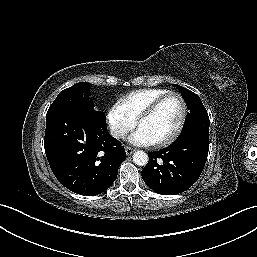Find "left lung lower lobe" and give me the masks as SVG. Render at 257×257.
I'll return each instance as SVG.
<instances>
[{"instance_id":"1","label":"left lung lower lobe","mask_w":257,"mask_h":257,"mask_svg":"<svg viewBox=\"0 0 257 257\" xmlns=\"http://www.w3.org/2000/svg\"><path fill=\"white\" fill-rule=\"evenodd\" d=\"M209 150V136L191 135L177 139L169 147L149 152L142 170L144 182L160 194L188 190L200 177Z\"/></svg>"}]
</instances>
